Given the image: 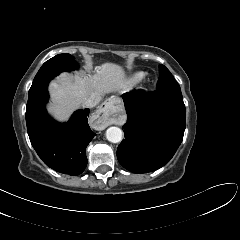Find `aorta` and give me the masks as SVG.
Returning a JSON list of instances; mask_svg holds the SVG:
<instances>
[{
	"instance_id": "1",
	"label": "aorta",
	"mask_w": 240,
	"mask_h": 240,
	"mask_svg": "<svg viewBox=\"0 0 240 240\" xmlns=\"http://www.w3.org/2000/svg\"><path fill=\"white\" fill-rule=\"evenodd\" d=\"M106 138L108 141L112 142V143H118L122 141L123 138V134H122V130L118 127H109L106 130Z\"/></svg>"
}]
</instances>
